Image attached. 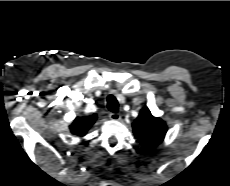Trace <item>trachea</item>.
<instances>
[{
    "mask_svg": "<svg viewBox=\"0 0 230 186\" xmlns=\"http://www.w3.org/2000/svg\"><path fill=\"white\" fill-rule=\"evenodd\" d=\"M107 108L113 113L118 112V101L113 95L107 97Z\"/></svg>",
    "mask_w": 230,
    "mask_h": 186,
    "instance_id": "1",
    "label": "trachea"
}]
</instances>
